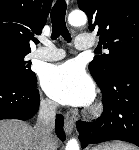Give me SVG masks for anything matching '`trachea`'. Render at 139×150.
Segmentation results:
<instances>
[{
  "instance_id": "1",
  "label": "trachea",
  "mask_w": 139,
  "mask_h": 150,
  "mask_svg": "<svg viewBox=\"0 0 139 150\" xmlns=\"http://www.w3.org/2000/svg\"><path fill=\"white\" fill-rule=\"evenodd\" d=\"M66 15V3L64 0H57L51 11V22H52V36L55 40L59 36H62L67 42H71L70 33L65 23Z\"/></svg>"
}]
</instances>
